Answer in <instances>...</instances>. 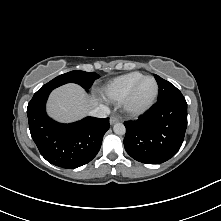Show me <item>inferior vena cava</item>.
Here are the masks:
<instances>
[{
  "mask_svg": "<svg viewBox=\"0 0 221 221\" xmlns=\"http://www.w3.org/2000/svg\"><path fill=\"white\" fill-rule=\"evenodd\" d=\"M90 114L97 118H106L110 114V109L105 105L95 107Z\"/></svg>",
  "mask_w": 221,
  "mask_h": 221,
  "instance_id": "1",
  "label": "inferior vena cava"
}]
</instances>
